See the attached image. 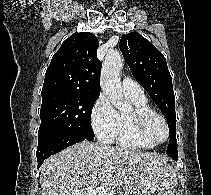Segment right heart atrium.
Instances as JSON below:
<instances>
[{"label":"right heart atrium","mask_w":211,"mask_h":195,"mask_svg":"<svg viewBox=\"0 0 211 195\" xmlns=\"http://www.w3.org/2000/svg\"><path fill=\"white\" fill-rule=\"evenodd\" d=\"M118 122V112L110 101L100 95L96 99L91 111V125L95 135L105 143L114 140Z\"/></svg>","instance_id":"1"}]
</instances>
